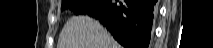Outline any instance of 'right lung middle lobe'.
I'll return each mask as SVG.
<instances>
[{
	"label": "right lung middle lobe",
	"mask_w": 213,
	"mask_h": 48,
	"mask_svg": "<svg viewBox=\"0 0 213 48\" xmlns=\"http://www.w3.org/2000/svg\"><path fill=\"white\" fill-rule=\"evenodd\" d=\"M94 0H65L62 1L61 10L70 9L75 14H84Z\"/></svg>",
	"instance_id": "dd1d6c3e"
}]
</instances>
